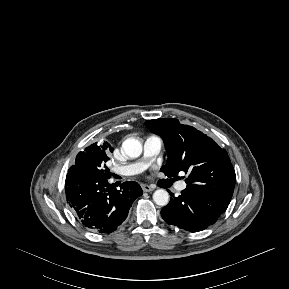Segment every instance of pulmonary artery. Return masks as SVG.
Masks as SVG:
<instances>
[{
  "mask_svg": "<svg viewBox=\"0 0 289 289\" xmlns=\"http://www.w3.org/2000/svg\"><path fill=\"white\" fill-rule=\"evenodd\" d=\"M162 147V139L157 135H151L145 139L144 154L141 160L126 165L116 166L113 171L116 174L130 176L141 172L159 154ZM184 181L177 184V190L183 191L186 188Z\"/></svg>",
  "mask_w": 289,
  "mask_h": 289,
  "instance_id": "pulmonary-artery-1",
  "label": "pulmonary artery"
}]
</instances>
